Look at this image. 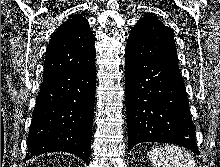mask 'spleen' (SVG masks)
<instances>
[{
    "instance_id": "3e777b00",
    "label": "spleen",
    "mask_w": 220,
    "mask_h": 167,
    "mask_svg": "<svg viewBox=\"0 0 220 167\" xmlns=\"http://www.w3.org/2000/svg\"><path fill=\"white\" fill-rule=\"evenodd\" d=\"M148 156L154 167H196L192 154L175 145L152 149Z\"/></svg>"
}]
</instances>
